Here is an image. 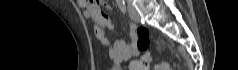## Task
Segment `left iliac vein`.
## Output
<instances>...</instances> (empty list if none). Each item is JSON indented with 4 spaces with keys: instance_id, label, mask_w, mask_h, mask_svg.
Here are the masks:
<instances>
[{
    "instance_id": "1",
    "label": "left iliac vein",
    "mask_w": 238,
    "mask_h": 70,
    "mask_svg": "<svg viewBox=\"0 0 238 70\" xmlns=\"http://www.w3.org/2000/svg\"><path fill=\"white\" fill-rule=\"evenodd\" d=\"M128 11H129V14H130L131 19H132L134 22H138L139 19H140V16H139L137 10H136L133 6L128 5Z\"/></svg>"
}]
</instances>
